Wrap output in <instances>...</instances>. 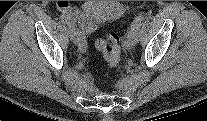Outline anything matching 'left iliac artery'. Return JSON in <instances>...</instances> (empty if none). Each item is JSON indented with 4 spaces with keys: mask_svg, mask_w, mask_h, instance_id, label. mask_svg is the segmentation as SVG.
<instances>
[{
    "mask_svg": "<svg viewBox=\"0 0 207 121\" xmlns=\"http://www.w3.org/2000/svg\"><path fill=\"white\" fill-rule=\"evenodd\" d=\"M145 19L144 14H139L134 21L132 22V25L130 27L129 35H133L135 32H137L142 25L143 21Z\"/></svg>",
    "mask_w": 207,
    "mask_h": 121,
    "instance_id": "left-iliac-artery-1",
    "label": "left iliac artery"
}]
</instances>
